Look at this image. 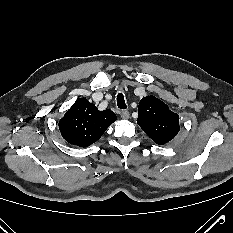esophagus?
I'll list each match as a JSON object with an SVG mask.
<instances>
[{
  "label": "esophagus",
  "instance_id": "esophagus-1",
  "mask_svg": "<svg viewBox=\"0 0 233 233\" xmlns=\"http://www.w3.org/2000/svg\"><path fill=\"white\" fill-rule=\"evenodd\" d=\"M120 116L123 119H128L129 118V112L126 111V110H123V111L120 112Z\"/></svg>",
  "mask_w": 233,
  "mask_h": 233
}]
</instances>
